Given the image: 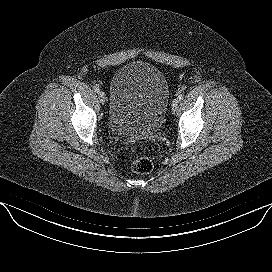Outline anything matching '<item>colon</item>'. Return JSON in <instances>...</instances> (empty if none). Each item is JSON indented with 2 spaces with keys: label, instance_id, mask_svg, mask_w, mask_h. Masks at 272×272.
Listing matches in <instances>:
<instances>
[{
  "label": "colon",
  "instance_id": "obj_1",
  "mask_svg": "<svg viewBox=\"0 0 272 272\" xmlns=\"http://www.w3.org/2000/svg\"><path fill=\"white\" fill-rule=\"evenodd\" d=\"M131 169L137 174H148L153 169V163L149 158L139 156L132 161Z\"/></svg>",
  "mask_w": 272,
  "mask_h": 272
}]
</instances>
